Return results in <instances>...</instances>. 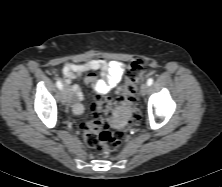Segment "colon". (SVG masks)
<instances>
[{
	"label": "colon",
	"instance_id": "1",
	"mask_svg": "<svg viewBox=\"0 0 222 187\" xmlns=\"http://www.w3.org/2000/svg\"><path fill=\"white\" fill-rule=\"evenodd\" d=\"M145 62L141 59L133 61L126 73V92L118 103H112L101 97L97 104L92 105V118L81 121L80 128L86 145L110 153L117 149L125 133L127 123L140 119L136 94L144 78ZM116 127L110 131L109 126Z\"/></svg>",
	"mask_w": 222,
	"mask_h": 187
}]
</instances>
